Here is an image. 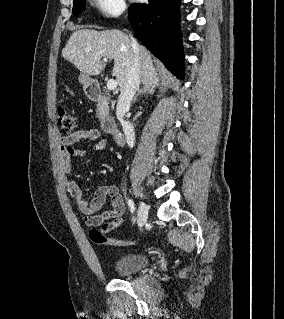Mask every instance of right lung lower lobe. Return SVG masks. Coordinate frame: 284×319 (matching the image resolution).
I'll list each match as a JSON object with an SVG mask.
<instances>
[{"mask_svg": "<svg viewBox=\"0 0 284 319\" xmlns=\"http://www.w3.org/2000/svg\"><path fill=\"white\" fill-rule=\"evenodd\" d=\"M180 0H148L132 4L129 20L136 37L176 76L184 77L180 32Z\"/></svg>", "mask_w": 284, "mask_h": 319, "instance_id": "right-lung-lower-lobe-1", "label": "right lung lower lobe"}]
</instances>
